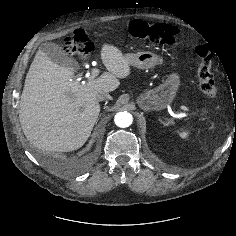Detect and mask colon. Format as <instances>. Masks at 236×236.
<instances>
[{"mask_svg":"<svg viewBox=\"0 0 236 236\" xmlns=\"http://www.w3.org/2000/svg\"><path fill=\"white\" fill-rule=\"evenodd\" d=\"M130 35L153 44H174L180 37V32L173 26L163 23H148L136 19L128 25ZM195 51L201 61L197 70L199 88L203 94L210 98L218 95V86L212 74L213 55L206 45H194ZM69 55L88 53L92 50V43L88 35L81 29L76 30L68 39L66 46Z\"/></svg>","mask_w":236,"mask_h":236,"instance_id":"colon-1","label":"colon"}]
</instances>
